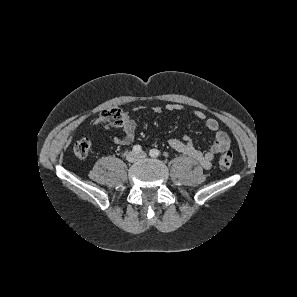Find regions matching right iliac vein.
Wrapping results in <instances>:
<instances>
[{
	"label": "right iliac vein",
	"instance_id": "right-iliac-vein-1",
	"mask_svg": "<svg viewBox=\"0 0 297 297\" xmlns=\"http://www.w3.org/2000/svg\"><path fill=\"white\" fill-rule=\"evenodd\" d=\"M138 159V156L135 152L131 151L126 154V160L129 162H135Z\"/></svg>",
	"mask_w": 297,
	"mask_h": 297
}]
</instances>
